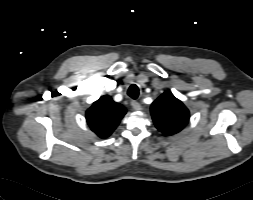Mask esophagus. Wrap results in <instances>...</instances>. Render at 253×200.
I'll use <instances>...</instances> for the list:
<instances>
[{"mask_svg": "<svg viewBox=\"0 0 253 200\" xmlns=\"http://www.w3.org/2000/svg\"><path fill=\"white\" fill-rule=\"evenodd\" d=\"M131 106L136 111L141 110V105L137 101H135V100L131 101Z\"/></svg>", "mask_w": 253, "mask_h": 200, "instance_id": "1", "label": "esophagus"}]
</instances>
